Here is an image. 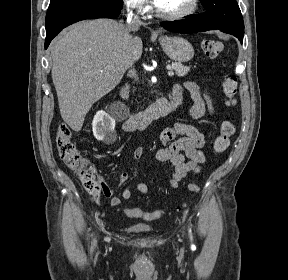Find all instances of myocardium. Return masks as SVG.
Instances as JSON below:
<instances>
[{
  "label": "myocardium",
  "instance_id": "1",
  "mask_svg": "<svg viewBox=\"0 0 288 280\" xmlns=\"http://www.w3.org/2000/svg\"><path fill=\"white\" fill-rule=\"evenodd\" d=\"M198 6H199V0H191L188 8H186L185 10H183L181 12L169 14V13H165V12L161 11L159 8H157V15L163 19H166V20H172V21L181 20V19L187 18V17L191 16L192 14H194L196 12Z\"/></svg>",
  "mask_w": 288,
  "mask_h": 280
}]
</instances>
